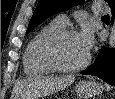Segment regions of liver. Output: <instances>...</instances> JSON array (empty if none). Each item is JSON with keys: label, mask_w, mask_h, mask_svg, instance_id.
<instances>
[{"label": "liver", "mask_w": 115, "mask_h": 99, "mask_svg": "<svg viewBox=\"0 0 115 99\" xmlns=\"http://www.w3.org/2000/svg\"><path fill=\"white\" fill-rule=\"evenodd\" d=\"M75 80L73 75L59 77H42L18 82L16 85L17 97L33 99L58 92L70 86Z\"/></svg>", "instance_id": "liver-1"}]
</instances>
